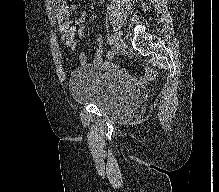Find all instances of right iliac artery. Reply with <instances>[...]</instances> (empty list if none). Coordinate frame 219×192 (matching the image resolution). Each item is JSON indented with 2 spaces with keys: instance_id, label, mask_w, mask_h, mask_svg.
Segmentation results:
<instances>
[{
  "instance_id": "right-iliac-artery-1",
  "label": "right iliac artery",
  "mask_w": 219,
  "mask_h": 192,
  "mask_svg": "<svg viewBox=\"0 0 219 192\" xmlns=\"http://www.w3.org/2000/svg\"><path fill=\"white\" fill-rule=\"evenodd\" d=\"M114 43V40H113V36L111 34H108V44L110 46H112ZM113 56V53L112 52H109L108 53V57H112Z\"/></svg>"
}]
</instances>
